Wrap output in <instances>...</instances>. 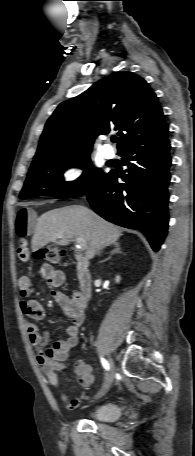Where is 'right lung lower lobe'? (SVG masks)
I'll return each mask as SVG.
<instances>
[{"mask_svg": "<svg viewBox=\"0 0 195 456\" xmlns=\"http://www.w3.org/2000/svg\"><path fill=\"white\" fill-rule=\"evenodd\" d=\"M168 135L158 140H140L126 145L119 152L128 166L117 182L110 172L87 193L94 211L117 225L140 230L157 252L167 234L170 181Z\"/></svg>", "mask_w": 195, "mask_h": 456, "instance_id": "obj_1", "label": "right lung lower lobe"}]
</instances>
